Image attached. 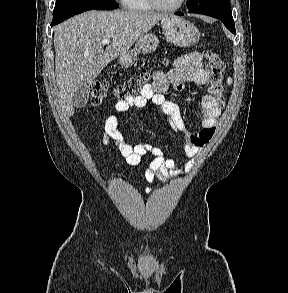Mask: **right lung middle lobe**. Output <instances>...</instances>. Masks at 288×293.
Segmentation results:
<instances>
[{
    "mask_svg": "<svg viewBox=\"0 0 288 293\" xmlns=\"http://www.w3.org/2000/svg\"><path fill=\"white\" fill-rule=\"evenodd\" d=\"M118 8L114 0H56L52 23L62 21L88 10H111Z\"/></svg>",
    "mask_w": 288,
    "mask_h": 293,
    "instance_id": "1",
    "label": "right lung middle lobe"
}]
</instances>
